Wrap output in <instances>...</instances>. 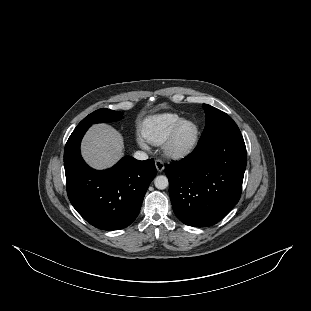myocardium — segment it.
Here are the masks:
<instances>
[{
    "label": "myocardium",
    "instance_id": "f54148a6",
    "mask_svg": "<svg viewBox=\"0 0 311 311\" xmlns=\"http://www.w3.org/2000/svg\"><path fill=\"white\" fill-rule=\"evenodd\" d=\"M186 125H192L194 128V132L191 140L186 145H181L179 143V134L182 128ZM200 139V127L197 122L189 119H185L177 124V126L172 131L169 138L165 141L163 145V152L165 156L170 159H184L190 156L199 143Z\"/></svg>",
    "mask_w": 311,
    "mask_h": 311
}]
</instances>
